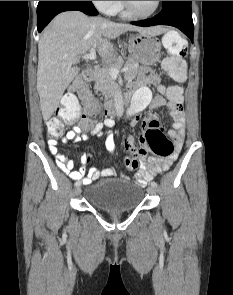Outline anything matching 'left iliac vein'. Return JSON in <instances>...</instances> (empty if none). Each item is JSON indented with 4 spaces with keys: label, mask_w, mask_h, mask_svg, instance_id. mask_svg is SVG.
<instances>
[{
    "label": "left iliac vein",
    "mask_w": 233,
    "mask_h": 295,
    "mask_svg": "<svg viewBox=\"0 0 233 295\" xmlns=\"http://www.w3.org/2000/svg\"><path fill=\"white\" fill-rule=\"evenodd\" d=\"M147 192H148L150 195L155 194V192H156L155 187H153V186H149V187L147 188Z\"/></svg>",
    "instance_id": "left-iliac-vein-1"
}]
</instances>
